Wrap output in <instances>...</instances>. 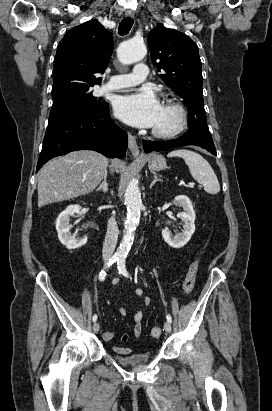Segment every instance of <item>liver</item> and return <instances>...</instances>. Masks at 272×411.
Segmentation results:
<instances>
[{
	"mask_svg": "<svg viewBox=\"0 0 272 411\" xmlns=\"http://www.w3.org/2000/svg\"><path fill=\"white\" fill-rule=\"evenodd\" d=\"M108 158L81 150L48 162L38 176V207L92 192L107 173Z\"/></svg>",
	"mask_w": 272,
	"mask_h": 411,
	"instance_id": "6515ba94",
	"label": "liver"
}]
</instances>
